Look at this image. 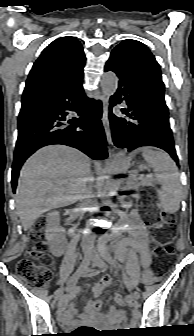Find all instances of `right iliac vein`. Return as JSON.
Returning <instances> with one entry per match:
<instances>
[{
  "label": "right iliac vein",
  "instance_id": "63e3f726",
  "mask_svg": "<svg viewBox=\"0 0 194 336\" xmlns=\"http://www.w3.org/2000/svg\"><path fill=\"white\" fill-rule=\"evenodd\" d=\"M84 267H85V264H84ZM67 288L70 289L71 286L67 285ZM63 292H64V288H60L58 290V293H57V298L59 300V305H61V302H62V295H63Z\"/></svg>",
  "mask_w": 194,
  "mask_h": 336
}]
</instances>
